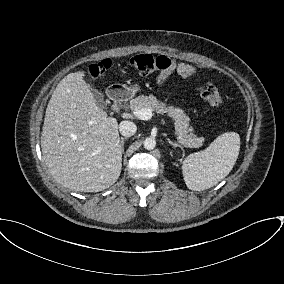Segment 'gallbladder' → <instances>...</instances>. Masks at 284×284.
<instances>
[{"mask_svg":"<svg viewBox=\"0 0 284 284\" xmlns=\"http://www.w3.org/2000/svg\"><path fill=\"white\" fill-rule=\"evenodd\" d=\"M91 92H92V94H93V96L95 98L96 105L98 107H100V108H104L105 109L106 106H107V103H106V101L104 99L103 94L101 92H99L98 90H96V89H92Z\"/></svg>","mask_w":284,"mask_h":284,"instance_id":"gallbladder-1","label":"gallbladder"}]
</instances>
